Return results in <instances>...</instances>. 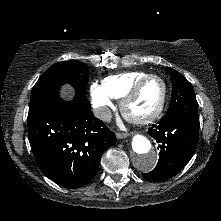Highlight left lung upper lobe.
Returning a JSON list of instances; mask_svg holds the SVG:
<instances>
[{"label":"left lung upper lobe","instance_id":"obj_1","mask_svg":"<svg viewBox=\"0 0 221 221\" xmlns=\"http://www.w3.org/2000/svg\"><path fill=\"white\" fill-rule=\"evenodd\" d=\"M173 86L171 102L163 118L186 116L192 122L199 124L198 103L191 83L172 68H166Z\"/></svg>","mask_w":221,"mask_h":221}]
</instances>
